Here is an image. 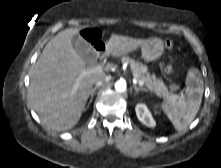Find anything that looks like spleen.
<instances>
[{
    "label": "spleen",
    "mask_w": 221,
    "mask_h": 168,
    "mask_svg": "<svg viewBox=\"0 0 221 168\" xmlns=\"http://www.w3.org/2000/svg\"><path fill=\"white\" fill-rule=\"evenodd\" d=\"M204 91V82L199 69L192 67L186 77L185 95H172L167 97L161 108L168 116L175 129L181 131L185 129L195 118L201 105Z\"/></svg>",
    "instance_id": "3e777b00"
}]
</instances>
